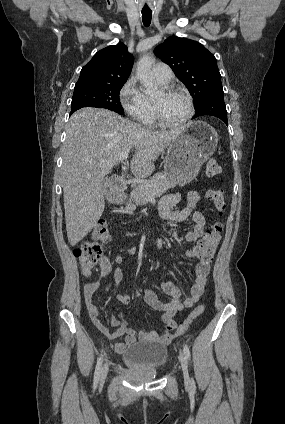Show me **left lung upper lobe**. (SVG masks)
<instances>
[{
	"instance_id": "5c2ea615",
	"label": "left lung upper lobe",
	"mask_w": 285,
	"mask_h": 424,
	"mask_svg": "<svg viewBox=\"0 0 285 424\" xmlns=\"http://www.w3.org/2000/svg\"><path fill=\"white\" fill-rule=\"evenodd\" d=\"M154 53L168 64L194 99L195 110L213 98H224L216 58L199 42L169 37Z\"/></svg>"
}]
</instances>
